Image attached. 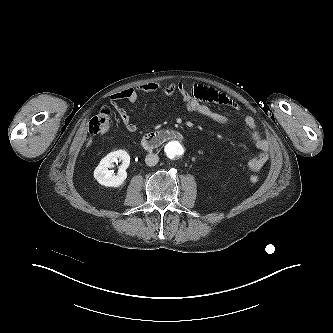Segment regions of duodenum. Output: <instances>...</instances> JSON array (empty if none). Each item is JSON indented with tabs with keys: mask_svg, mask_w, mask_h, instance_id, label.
Returning a JSON list of instances; mask_svg holds the SVG:
<instances>
[{
	"mask_svg": "<svg viewBox=\"0 0 333 333\" xmlns=\"http://www.w3.org/2000/svg\"><path fill=\"white\" fill-rule=\"evenodd\" d=\"M181 134L176 130H161L143 136L141 145L146 150H152L169 140L180 139Z\"/></svg>",
	"mask_w": 333,
	"mask_h": 333,
	"instance_id": "1",
	"label": "duodenum"
}]
</instances>
